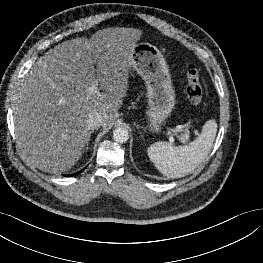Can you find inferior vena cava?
Segmentation results:
<instances>
[{
  "label": "inferior vena cava",
  "mask_w": 263,
  "mask_h": 263,
  "mask_svg": "<svg viewBox=\"0 0 263 263\" xmlns=\"http://www.w3.org/2000/svg\"><path fill=\"white\" fill-rule=\"evenodd\" d=\"M86 122L89 129H97L103 124V116L98 112H92L88 114Z\"/></svg>",
  "instance_id": "1"
}]
</instances>
